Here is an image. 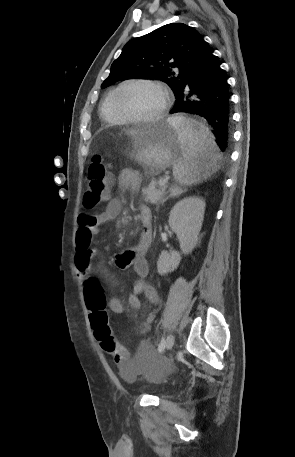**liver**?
Returning <instances> with one entry per match:
<instances>
[{"mask_svg": "<svg viewBox=\"0 0 295 457\" xmlns=\"http://www.w3.org/2000/svg\"><path fill=\"white\" fill-rule=\"evenodd\" d=\"M150 129H151V128H147V129H138V130H130V131H128L127 133H128L129 135H131L132 137H135V136H137V135H139V134H143V133L148 132Z\"/></svg>", "mask_w": 295, "mask_h": 457, "instance_id": "liver-1", "label": "liver"}]
</instances>
